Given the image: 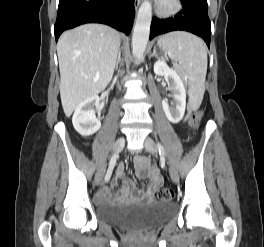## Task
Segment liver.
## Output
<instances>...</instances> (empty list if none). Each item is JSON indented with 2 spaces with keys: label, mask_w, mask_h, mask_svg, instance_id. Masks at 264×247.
I'll list each match as a JSON object with an SVG mask.
<instances>
[{
  "label": "liver",
  "mask_w": 264,
  "mask_h": 247,
  "mask_svg": "<svg viewBox=\"0 0 264 247\" xmlns=\"http://www.w3.org/2000/svg\"><path fill=\"white\" fill-rule=\"evenodd\" d=\"M119 47L120 34L101 24L81 25L60 36V97L67 117L82 101L98 95L110 83Z\"/></svg>",
  "instance_id": "1"
}]
</instances>
